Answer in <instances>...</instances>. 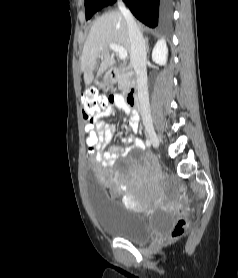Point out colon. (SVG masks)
<instances>
[{
  "mask_svg": "<svg viewBox=\"0 0 238 278\" xmlns=\"http://www.w3.org/2000/svg\"><path fill=\"white\" fill-rule=\"evenodd\" d=\"M110 102H112L111 99L99 94L94 89L87 90L82 95V114L88 124L86 126V140H89L83 141V146H86L84 151L87 153L85 154V159H96V156H98V149H100L99 140L103 136V131L99 128L94 130V122L97 116L108 107ZM179 190L183 198L179 205V216L169 231V237L171 239L182 237L188 228V220L185 216V204H188L189 200L184 197L188 196L189 190L183 183L179 184Z\"/></svg>",
  "mask_w": 238,
  "mask_h": 278,
  "instance_id": "colon-1",
  "label": "colon"
}]
</instances>
